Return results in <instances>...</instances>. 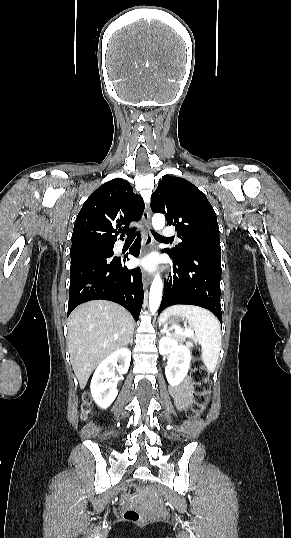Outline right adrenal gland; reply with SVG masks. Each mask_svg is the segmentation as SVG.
Instances as JSON below:
<instances>
[{
    "label": "right adrenal gland",
    "instance_id": "1",
    "mask_svg": "<svg viewBox=\"0 0 291 538\" xmlns=\"http://www.w3.org/2000/svg\"><path fill=\"white\" fill-rule=\"evenodd\" d=\"M128 343H129L130 345H132V344H133V334L131 335V338H130V340H129V342H128Z\"/></svg>",
    "mask_w": 291,
    "mask_h": 538
}]
</instances>
